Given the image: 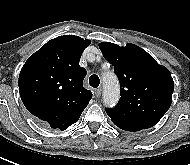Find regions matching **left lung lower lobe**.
I'll use <instances>...</instances> for the list:
<instances>
[{
	"mask_svg": "<svg viewBox=\"0 0 190 165\" xmlns=\"http://www.w3.org/2000/svg\"><path fill=\"white\" fill-rule=\"evenodd\" d=\"M116 126L123 129V130H126V131H134V130H131L130 128H127V127H123V126H119V125H116Z\"/></svg>",
	"mask_w": 190,
	"mask_h": 165,
	"instance_id": "1",
	"label": "left lung lower lobe"
}]
</instances>
